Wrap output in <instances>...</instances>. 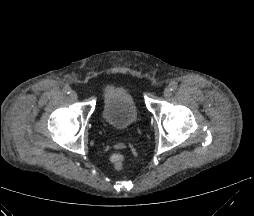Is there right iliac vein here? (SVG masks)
Instances as JSON below:
<instances>
[{
    "label": "right iliac vein",
    "mask_w": 254,
    "mask_h": 216,
    "mask_svg": "<svg viewBox=\"0 0 254 216\" xmlns=\"http://www.w3.org/2000/svg\"><path fill=\"white\" fill-rule=\"evenodd\" d=\"M70 97L72 99H76L77 98V93L75 91H72L71 94H70Z\"/></svg>",
    "instance_id": "63e3f726"
}]
</instances>
